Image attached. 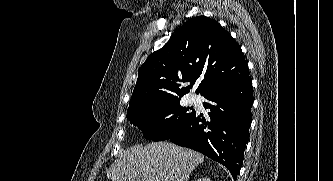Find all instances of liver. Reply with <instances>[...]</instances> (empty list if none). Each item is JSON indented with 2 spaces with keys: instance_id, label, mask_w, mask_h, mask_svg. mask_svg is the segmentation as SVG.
<instances>
[{
  "instance_id": "1",
  "label": "liver",
  "mask_w": 333,
  "mask_h": 181,
  "mask_svg": "<svg viewBox=\"0 0 333 181\" xmlns=\"http://www.w3.org/2000/svg\"><path fill=\"white\" fill-rule=\"evenodd\" d=\"M204 155L167 142L134 146L113 162L106 173L111 181H187Z\"/></svg>"
}]
</instances>
